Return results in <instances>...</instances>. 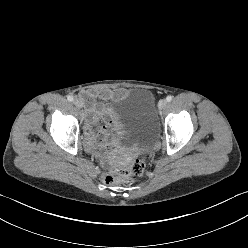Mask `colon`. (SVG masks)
I'll use <instances>...</instances> for the list:
<instances>
[{"instance_id": "5ec220e1", "label": "colon", "mask_w": 248, "mask_h": 248, "mask_svg": "<svg viewBox=\"0 0 248 248\" xmlns=\"http://www.w3.org/2000/svg\"><path fill=\"white\" fill-rule=\"evenodd\" d=\"M145 170V159L140 158L126 169L109 170L102 174V180L106 184H112L117 181H132L134 178L141 176Z\"/></svg>"}]
</instances>
